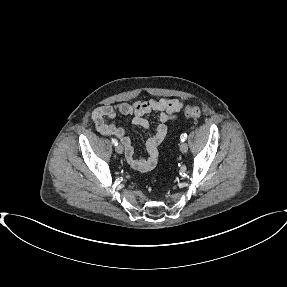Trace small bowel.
<instances>
[{
    "mask_svg": "<svg viewBox=\"0 0 287 287\" xmlns=\"http://www.w3.org/2000/svg\"><path fill=\"white\" fill-rule=\"evenodd\" d=\"M183 105L184 101L178 98L137 100L132 104L106 105L98 107L93 112V120L99 133L106 136L113 135L121 141L125 147V158L128 164L138 171L145 172L153 169L156 165L159 157L158 146L167 134V123L176 119L177 113ZM149 113L158 115L159 123L154 129L150 128L148 120L144 117ZM119 115L130 119L136 126L151 130L146 140L147 158H137L126 130L110 122L111 119Z\"/></svg>",
    "mask_w": 287,
    "mask_h": 287,
    "instance_id": "obj_1",
    "label": "small bowel"
}]
</instances>
